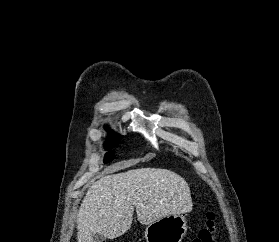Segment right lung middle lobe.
<instances>
[{"instance_id": "1", "label": "right lung middle lobe", "mask_w": 279, "mask_h": 242, "mask_svg": "<svg viewBox=\"0 0 279 242\" xmlns=\"http://www.w3.org/2000/svg\"><path fill=\"white\" fill-rule=\"evenodd\" d=\"M117 137H118L117 135H115L114 133L111 132L109 135V141L107 142V145L115 144L116 143L115 139H118ZM113 159H114V152L109 151L104 158V163H108V162L112 161Z\"/></svg>"}]
</instances>
